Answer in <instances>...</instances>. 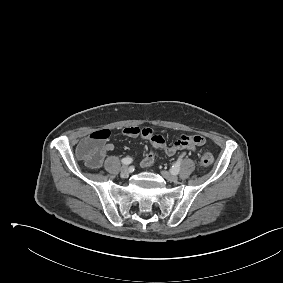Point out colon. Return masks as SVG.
Returning a JSON list of instances; mask_svg holds the SVG:
<instances>
[{"label":"colon","mask_w":283,"mask_h":283,"mask_svg":"<svg viewBox=\"0 0 283 283\" xmlns=\"http://www.w3.org/2000/svg\"><path fill=\"white\" fill-rule=\"evenodd\" d=\"M108 137L109 131L107 130L93 132L78 145V156L90 167L97 168L101 164L104 155V142ZM200 163L204 167H208L213 163V155L209 150H202L200 154Z\"/></svg>","instance_id":"colon-1"}]
</instances>
